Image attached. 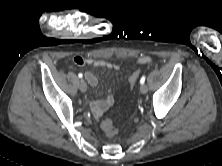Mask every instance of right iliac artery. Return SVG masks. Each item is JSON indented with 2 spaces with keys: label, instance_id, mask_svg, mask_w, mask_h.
Returning a JSON list of instances; mask_svg holds the SVG:
<instances>
[{
  "label": "right iliac artery",
  "instance_id": "obj_1",
  "mask_svg": "<svg viewBox=\"0 0 222 166\" xmlns=\"http://www.w3.org/2000/svg\"><path fill=\"white\" fill-rule=\"evenodd\" d=\"M78 77H79V78H82V77H83L82 73H79V74H78Z\"/></svg>",
  "mask_w": 222,
  "mask_h": 166
}]
</instances>
